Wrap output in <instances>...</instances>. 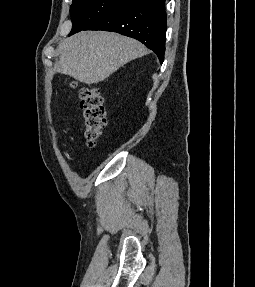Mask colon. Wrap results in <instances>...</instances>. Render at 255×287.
Instances as JSON below:
<instances>
[{"label":"colon","mask_w":255,"mask_h":287,"mask_svg":"<svg viewBox=\"0 0 255 287\" xmlns=\"http://www.w3.org/2000/svg\"><path fill=\"white\" fill-rule=\"evenodd\" d=\"M80 110L84 126V138L90 148H94L106 126V112L99 89L81 87L79 89Z\"/></svg>","instance_id":"colon-1"}]
</instances>
